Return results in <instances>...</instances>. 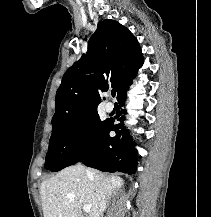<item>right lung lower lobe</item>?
I'll return each mask as SVG.
<instances>
[{
    "label": "right lung lower lobe",
    "instance_id": "1",
    "mask_svg": "<svg viewBox=\"0 0 211 217\" xmlns=\"http://www.w3.org/2000/svg\"><path fill=\"white\" fill-rule=\"evenodd\" d=\"M131 83L132 81L129 85ZM128 87L118 97L121 107L124 106ZM122 113L123 110L120 115ZM118 120L122 123L123 117H118ZM121 123L114 124V119H108V125L102 140L90 155L80 162L104 172L118 171L130 175L134 174L137 166L135 142L132 141L129 131ZM110 131H115L116 136L110 137Z\"/></svg>",
    "mask_w": 211,
    "mask_h": 217
}]
</instances>
